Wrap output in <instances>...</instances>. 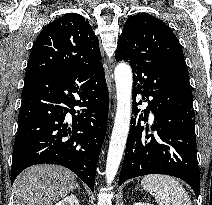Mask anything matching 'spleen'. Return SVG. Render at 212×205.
I'll return each instance as SVG.
<instances>
[{"mask_svg":"<svg viewBox=\"0 0 212 205\" xmlns=\"http://www.w3.org/2000/svg\"><path fill=\"white\" fill-rule=\"evenodd\" d=\"M141 184L145 191L154 195L159 205H192L188 192L172 176L147 175Z\"/></svg>","mask_w":212,"mask_h":205,"instance_id":"3e777b00","label":"spleen"}]
</instances>
